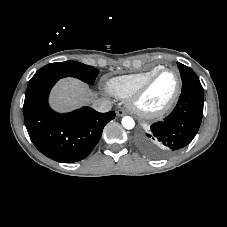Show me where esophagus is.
I'll return each instance as SVG.
<instances>
[{
    "instance_id": "34e87169",
    "label": "esophagus",
    "mask_w": 227,
    "mask_h": 227,
    "mask_svg": "<svg viewBox=\"0 0 227 227\" xmlns=\"http://www.w3.org/2000/svg\"><path fill=\"white\" fill-rule=\"evenodd\" d=\"M116 114H117L118 117H122V116H124V115L126 114V112H125L124 110H122V109H119V110L116 112Z\"/></svg>"
}]
</instances>
